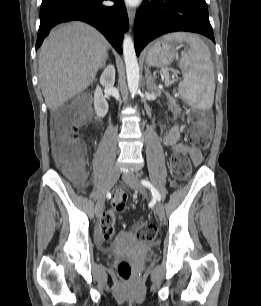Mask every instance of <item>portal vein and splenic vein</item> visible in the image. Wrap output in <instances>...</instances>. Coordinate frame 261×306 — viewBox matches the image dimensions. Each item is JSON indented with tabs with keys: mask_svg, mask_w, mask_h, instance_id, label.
I'll use <instances>...</instances> for the list:
<instances>
[{
	"mask_svg": "<svg viewBox=\"0 0 261 306\" xmlns=\"http://www.w3.org/2000/svg\"><path fill=\"white\" fill-rule=\"evenodd\" d=\"M166 77H167V81H169V80H168V75H166ZM169 82H170V81H169Z\"/></svg>",
	"mask_w": 261,
	"mask_h": 306,
	"instance_id": "1",
	"label": "portal vein and splenic vein"
}]
</instances>
